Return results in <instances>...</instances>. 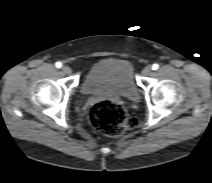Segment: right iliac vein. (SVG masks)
<instances>
[{
    "instance_id": "obj_1",
    "label": "right iliac vein",
    "mask_w": 212,
    "mask_h": 183,
    "mask_svg": "<svg viewBox=\"0 0 212 183\" xmlns=\"http://www.w3.org/2000/svg\"><path fill=\"white\" fill-rule=\"evenodd\" d=\"M62 71L65 73V74H71V68L70 67H68V66H63L62 67Z\"/></svg>"
}]
</instances>
